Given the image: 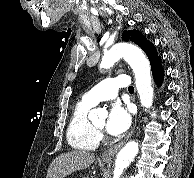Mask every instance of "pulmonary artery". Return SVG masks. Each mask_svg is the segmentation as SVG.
I'll use <instances>...</instances> for the list:
<instances>
[{
    "mask_svg": "<svg viewBox=\"0 0 194 178\" xmlns=\"http://www.w3.org/2000/svg\"><path fill=\"white\" fill-rule=\"evenodd\" d=\"M129 84L130 79L127 75L104 79L88 91L82 100L91 105H95L100 101L111 100L117 96L119 88H125Z\"/></svg>",
    "mask_w": 194,
    "mask_h": 178,
    "instance_id": "1",
    "label": "pulmonary artery"
}]
</instances>
